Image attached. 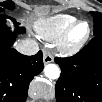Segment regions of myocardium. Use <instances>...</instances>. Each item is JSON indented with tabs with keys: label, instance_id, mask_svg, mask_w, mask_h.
I'll return each mask as SVG.
<instances>
[{
	"label": "myocardium",
	"instance_id": "1",
	"mask_svg": "<svg viewBox=\"0 0 102 102\" xmlns=\"http://www.w3.org/2000/svg\"><path fill=\"white\" fill-rule=\"evenodd\" d=\"M80 25H85V34L78 41H73V34ZM89 36V25L86 22H76L68 28L56 40L57 49L64 55L70 56L77 53L87 41Z\"/></svg>",
	"mask_w": 102,
	"mask_h": 102
}]
</instances>
